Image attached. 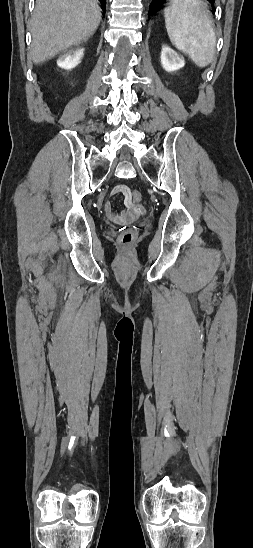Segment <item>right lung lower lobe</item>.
<instances>
[{
    "label": "right lung lower lobe",
    "mask_w": 253,
    "mask_h": 548,
    "mask_svg": "<svg viewBox=\"0 0 253 548\" xmlns=\"http://www.w3.org/2000/svg\"><path fill=\"white\" fill-rule=\"evenodd\" d=\"M100 1L102 2L103 8L105 9V7H106V0H100Z\"/></svg>",
    "instance_id": "obj_1"
}]
</instances>
